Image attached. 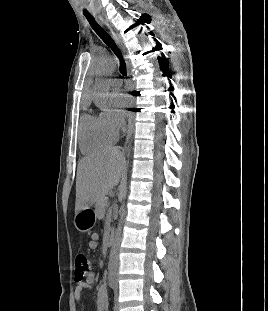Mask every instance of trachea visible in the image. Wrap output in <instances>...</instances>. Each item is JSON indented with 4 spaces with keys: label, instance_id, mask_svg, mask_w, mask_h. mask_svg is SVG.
<instances>
[{
    "label": "trachea",
    "instance_id": "3493384b",
    "mask_svg": "<svg viewBox=\"0 0 268 311\" xmlns=\"http://www.w3.org/2000/svg\"><path fill=\"white\" fill-rule=\"evenodd\" d=\"M88 22L90 23L93 30L96 32V34L103 40V42L108 45L111 50L114 52V54L118 57L120 61V73L123 76H126V64L122 58V55L117 48L115 42L113 39L108 35V33L95 21L94 17L92 15H86Z\"/></svg>",
    "mask_w": 268,
    "mask_h": 311
}]
</instances>
